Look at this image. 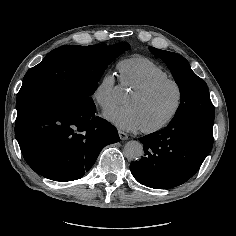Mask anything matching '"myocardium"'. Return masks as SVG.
<instances>
[{"mask_svg":"<svg viewBox=\"0 0 236 236\" xmlns=\"http://www.w3.org/2000/svg\"><path fill=\"white\" fill-rule=\"evenodd\" d=\"M166 84L173 85L177 91L176 105H175L173 111L171 112V114L162 122H160L152 127H141L142 132H144L146 134H152V133L159 132V131L167 128L175 120V118L179 114V112L182 108V105H183V101H184L183 88L177 80H175L173 78H164V79H159V80L153 81L152 83L148 84L147 86L140 88V89L133 90V92H132L137 96L143 97V96L149 95L150 93L154 92L155 90H157L158 88H160Z\"/></svg>","mask_w":236,"mask_h":236,"instance_id":"obj_1","label":"myocardium"}]
</instances>
